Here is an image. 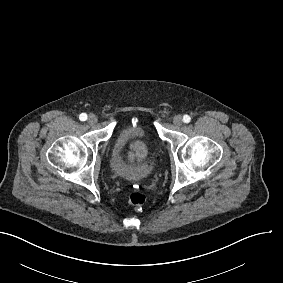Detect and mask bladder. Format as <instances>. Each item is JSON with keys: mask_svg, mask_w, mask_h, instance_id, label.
<instances>
[{"mask_svg": "<svg viewBox=\"0 0 283 283\" xmlns=\"http://www.w3.org/2000/svg\"><path fill=\"white\" fill-rule=\"evenodd\" d=\"M150 135L151 133L140 124L127 125L120 129L112 139L114 164L109 167L110 173L114 176L122 177L127 181L132 180L135 174L140 171V168H148L150 173H156L160 161L158 154H155L153 162L144 160L139 163V166L124 162L121 154L122 150L132 140H144L150 138Z\"/></svg>", "mask_w": 283, "mask_h": 283, "instance_id": "bladder-1", "label": "bladder"}]
</instances>
